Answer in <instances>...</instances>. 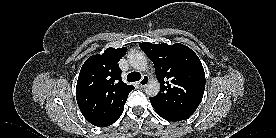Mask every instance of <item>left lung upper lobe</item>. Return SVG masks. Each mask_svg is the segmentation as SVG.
<instances>
[{"instance_id": "5c2ea615", "label": "left lung upper lobe", "mask_w": 276, "mask_h": 138, "mask_svg": "<svg viewBox=\"0 0 276 138\" xmlns=\"http://www.w3.org/2000/svg\"><path fill=\"white\" fill-rule=\"evenodd\" d=\"M140 48L154 63L160 92L150 101L156 112L170 117L189 118L199 106L205 73L200 59L187 46L140 43Z\"/></svg>"}]
</instances>
